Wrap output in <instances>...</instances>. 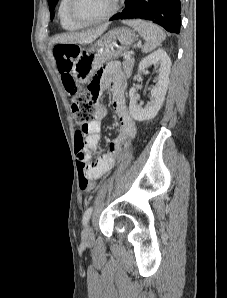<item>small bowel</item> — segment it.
<instances>
[{
	"label": "small bowel",
	"instance_id": "obj_1",
	"mask_svg": "<svg viewBox=\"0 0 227 298\" xmlns=\"http://www.w3.org/2000/svg\"><path fill=\"white\" fill-rule=\"evenodd\" d=\"M101 68L103 69H99V72L86 82L88 92H91L90 103H95L96 117L92 118L89 125H82V130H86L84 154L88 165L82 167L78 161L79 167L91 179H99L106 174L113 167L122 145L131 141L136 134V123L125 102L126 77L119 63L116 61L101 63ZM105 90L111 95L112 105L119 119V131L117 137L110 142L108 152L89 162L91 153L97 150L101 140V120L107 113L106 105L102 102Z\"/></svg>",
	"mask_w": 227,
	"mask_h": 298
}]
</instances>
